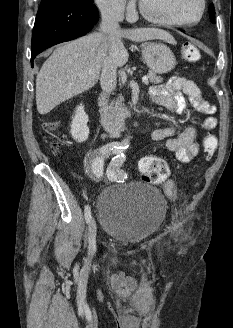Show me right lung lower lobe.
Wrapping results in <instances>:
<instances>
[{"mask_svg":"<svg viewBox=\"0 0 233 328\" xmlns=\"http://www.w3.org/2000/svg\"><path fill=\"white\" fill-rule=\"evenodd\" d=\"M98 21L95 5L65 0H42L35 20L31 62L43 50L85 35Z\"/></svg>","mask_w":233,"mask_h":328,"instance_id":"98d812e1","label":"right lung lower lobe"}]
</instances>
